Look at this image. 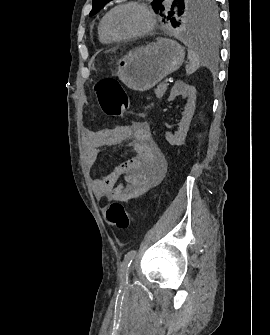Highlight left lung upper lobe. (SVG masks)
Returning a JSON list of instances; mask_svg holds the SVG:
<instances>
[{"mask_svg":"<svg viewBox=\"0 0 270 335\" xmlns=\"http://www.w3.org/2000/svg\"><path fill=\"white\" fill-rule=\"evenodd\" d=\"M110 0H92L90 16ZM152 8L181 30L217 31L218 10L215 0H153ZM165 21V20H163Z\"/></svg>","mask_w":270,"mask_h":335,"instance_id":"5c2ea615","label":"left lung upper lobe"}]
</instances>
